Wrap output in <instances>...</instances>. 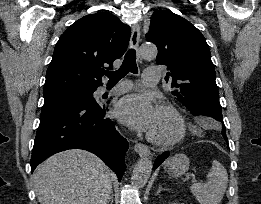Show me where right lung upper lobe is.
<instances>
[{
	"instance_id": "obj_1",
	"label": "right lung upper lobe",
	"mask_w": 261,
	"mask_h": 204,
	"mask_svg": "<svg viewBox=\"0 0 261 204\" xmlns=\"http://www.w3.org/2000/svg\"><path fill=\"white\" fill-rule=\"evenodd\" d=\"M131 30L115 15L99 12L74 22L59 38L46 73L44 95L94 91L104 68L123 56Z\"/></svg>"
}]
</instances>
